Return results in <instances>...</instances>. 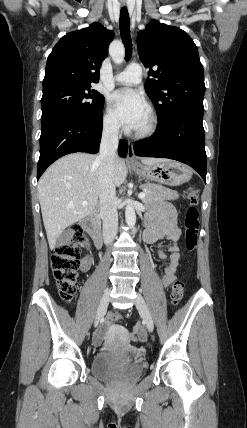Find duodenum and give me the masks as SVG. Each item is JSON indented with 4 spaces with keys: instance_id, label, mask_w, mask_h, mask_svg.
<instances>
[{
    "instance_id": "duodenum-1",
    "label": "duodenum",
    "mask_w": 247,
    "mask_h": 428,
    "mask_svg": "<svg viewBox=\"0 0 247 428\" xmlns=\"http://www.w3.org/2000/svg\"><path fill=\"white\" fill-rule=\"evenodd\" d=\"M82 225L90 233L94 244L97 248H100L103 243V236L100 225L98 223L97 214L93 213L83 219Z\"/></svg>"
}]
</instances>
